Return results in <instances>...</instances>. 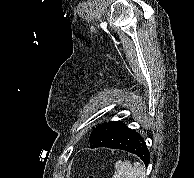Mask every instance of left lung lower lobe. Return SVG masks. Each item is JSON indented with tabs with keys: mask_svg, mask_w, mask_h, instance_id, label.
I'll return each mask as SVG.
<instances>
[{
	"mask_svg": "<svg viewBox=\"0 0 194 178\" xmlns=\"http://www.w3.org/2000/svg\"><path fill=\"white\" fill-rule=\"evenodd\" d=\"M90 147L122 149L136 154L145 165L150 161L149 150L142 137L120 121H112L96 126L89 139Z\"/></svg>",
	"mask_w": 194,
	"mask_h": 178,
	"instance_id": "1",
	"label": "left lung lower lobe"
}]
</instances>
